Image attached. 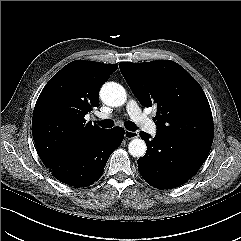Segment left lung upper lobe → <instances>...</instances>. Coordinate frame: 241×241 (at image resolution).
Listing matches in <instances>:
<instances>
[{"label":"left lung upper lobe","instance_id":"1","mask_svg":"<svg viewBox=\"0 0 241 241\" xmlns=\"http://www.w3.org/2000/svg\"><path fill=\"white\" fill-rule=\"evenodd\" d=\"M120 71L144 107L155 105L157 133L211 148L213 119L199 83L179 64L157 60L119 63Z\"/></svg>","mask_w":241,"mask_h":241}]
</instances>
